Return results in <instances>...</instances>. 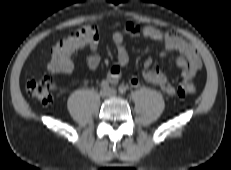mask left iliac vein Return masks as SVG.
<instances>
[{
  "mask_svg": "<svg viewBox=\"0 0 231 170\" xmlns=\"http://www.w3.org/2000/svg\"><path fill=\"white\" fill-rule=\"evenodd\" d=\"M108 96L109 97H115L116 96V90L114 89H108Z\"/></svg>",
  "mask_w": 231,
  "mask_h": 170,
  "instance_id": "obj_1",
  "label": "left iliac vein"
}]
</instances>
